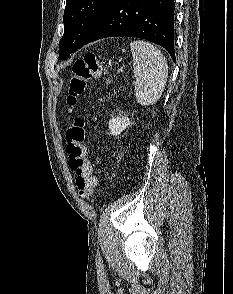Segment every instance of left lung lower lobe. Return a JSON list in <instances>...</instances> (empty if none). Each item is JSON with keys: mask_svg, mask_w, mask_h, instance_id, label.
Listing matches in <instances>:
<instances>
[{"mask_svg": "<svg viewBox=\"0 0 233 294\" xmlns=\"http://www.w3.org/2000/svg\"><path fill=\"white\" fill-rule=\"evenodd\" d=\"M111 36L154 42L175 62L174 0H111L83 45Z\"/></svg>", "mask_w": 233, "mask_h": 294, "instance_id": "obj_1", "label": "left lung lower lobe"}]
</instances>
